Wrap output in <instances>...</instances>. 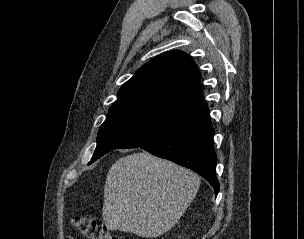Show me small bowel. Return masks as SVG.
I'll return each instance as SVG.
<instances>
[{"instance_id": "1", "label": "small bowel", "mask_w": 304, "mask_h": 239, "mask_svg": "<svg viewBox=\"0 0 304 239\" xmlns=\"http://www.w3.org/2000/svg\"><path fill=\"white\" fill-rule=\"evenodd\" d=\"M65 239H74L73 237H67V238H65Z\"/></svg>"}]
</instances>
